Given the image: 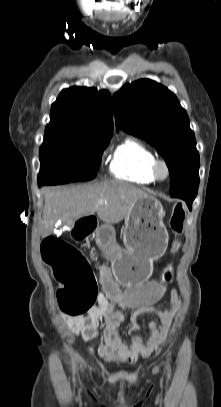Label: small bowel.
Masks as SVG:
<instances>
[{
	"label": "small bowel",
	"mask_w": 221,
	"mask_h": 407,
	"mask_svg": "<svg viewBox=\"0 0 221 407\" xmlns=\"http://www.w3.org/2000/svg\"><path fill=\"white\" fill-rule=\"evenodd\" d=\"M166 271H171V269L168 268ZM109 293L100 292L98 294L97 304L89 310L88 316H67L66 323L69 329L73 333L81 335L84 341L89 342L97 336L99 320L104 319L106 326L103 331V344L98 349L102 357L135 361L139 356H148L157 345L166 340L180 307L179 294L176 290H172L170 306L163 310H155L159 322H149L150 335L148 338L144 339L140 334H136L123 340L119 328L125 318L121 312L115 309L116 305H122L120 303L122 297L119 300H109ZM120 293L122 294V292ZM145 312L147 311H135L130 319V330L141 332L139 319Z\"/></svg>",
	"instance_id": "obj_1"
}]
</instances>
